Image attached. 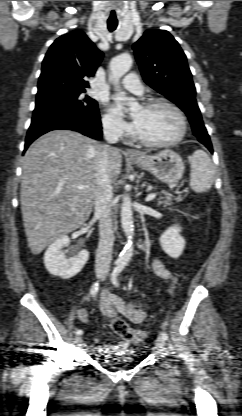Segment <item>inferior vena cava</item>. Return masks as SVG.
Masks as SVG:
<instances>
[{
  "label": "inferior vena cava",
  "instance_id": "1",
  "mask_svg": "<svg viewBox=\"0 0 242 416\" xmlns=\"http://www.w3.org/2000/svg\"><path fill=\"white\" fill-rule=\"evenodd\" d=\"M103 134L108 144L102 146L97 164L94 206L95 216L99 219V244L96 252L95 270L106 273L109 271L114 243L113 192L108 170L110 155L116 148L111 147L110 144L118 142L119 132L111 122L103 121Z\"/></svg>",
  "mask_w": 242,
  "mask_h": 416
}]
</instances>
